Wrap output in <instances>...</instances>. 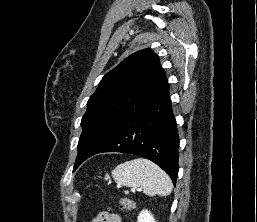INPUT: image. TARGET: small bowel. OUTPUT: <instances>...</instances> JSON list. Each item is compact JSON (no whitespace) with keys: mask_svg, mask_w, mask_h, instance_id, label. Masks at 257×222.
Returning <instances> with one entry per match:
<instances>
[{"mask_svg":"<svg viewBox=\"0 0 257 222\" xmlns=\"http://www.w3.org/2000/svg\"><path fill=\"white\" fill-rule=\"evenodd\" d=\"M91 222H122L121 216L114 212H101Z\"/></svg>","mask_w":257,"mask_h":222,"instance_id":"obj_1","label":"small bowel"}]
</instances>
